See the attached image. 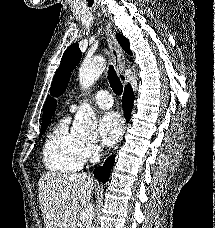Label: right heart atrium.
<instances>
[{"mask_svg": "<svg viewBox=\"0 0 215 228\" xmlns=\"http://www.w3.org/2000/svg\"><path fill=\"white\" fill-rule=\"evenodd\" d=\"M101 154V148L94 143H86L83 145V160L89 162L97 159Z\"/></svg>", "mask_w": 215, "mask_h": 228, "instance_id": "d8ad5b80", "label": "right heart atrium"}]
</instances>
